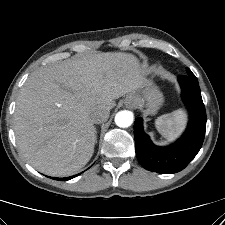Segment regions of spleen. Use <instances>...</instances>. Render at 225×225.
Masks as SVG:
<instances>
[{"instance_id": "spleen-1", "label": "spleen", "mask_w": 225, "mask_h": 225, "mask_svg": "<svg viewBox=\"0 0 225 225\" xmlns=\"http://www.w3.org/2000/svg\"><path fill=\"white\" fill-rule=\"evenodd\" d=\"M187 116L184 110L178 109L158 117L155 121L158 132L167 140H175L185 129Z\"/></svg>"}]
</instances>
